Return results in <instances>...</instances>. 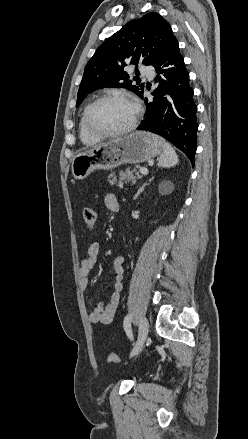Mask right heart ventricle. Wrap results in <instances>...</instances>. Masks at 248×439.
Segmentation results:
<instances>
[{"label":"right heart ventricle","instance_id":"1","mask_svg":"<svg viewBox=\"0 0 248 439\" xmlns=\"http://www.w3.org/2000/svg\"><path fill=\"white\" fill-rule=\"evenodd\" d=\"M87 107H88V105L83 109V112H82L81 117H80L79 137H80L81 142L84 145L91 146V145H95V144L99 143L103 138L95 136L87 130L86 125H85V112H86Z\"/></svg>","mask_w":248,"mask_h":439}]
</instances>
